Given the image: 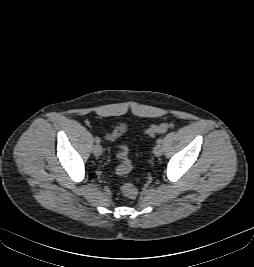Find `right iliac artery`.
I'll list each match as a JSON object with an SVG mask.
<instances>
[{
    "label": "right iliac artery",
    "instance_id": "right-iliac-artery-1",
    "mask_svg": "<svg viewBox=\"0 0 254 267\" xmlns=\"http://www.w3.org/2000/svg\"><path fill=\"white\" fill-rule=\"evenodd\" d=\"M95 142L98 144L100 143V138L99 137H95Z\"/></svg>",
    "mask_w": 254,
    "mask_h": 267
}]
</instances>
